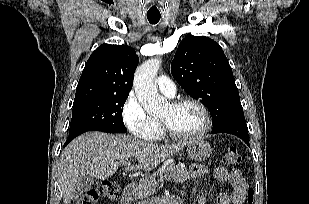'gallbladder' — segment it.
<instances>
[{"label": "gallbladder", "mask_w": 309, "mask_h": 204, "mask_svg": "<svg viewBox=\"0 0 309 204\" xmlns=\"http://www.w3.org/2000/svg\"><path fill=\"white\" fill-rule=\"evenodd\" d=\"M93 179L89 176L81 177L75 185V191L73 193V199H78L84 192L89 190L93 185Z\"/></svg>", "instance_id": "obj_1"}]
</instances>
